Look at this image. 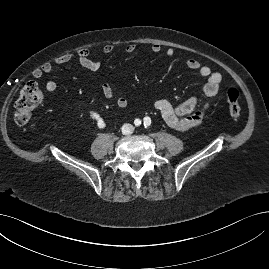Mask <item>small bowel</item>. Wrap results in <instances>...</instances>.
<instances>
[{"mask_svg": "<svg viewBox=\"0 0 269 269\" xmlns=\"http://www.w3.org/2000/svg\"><path fill=\"white\" fill-rule=\"evenodd\" d=\"M135 50L136 46L134 44H129L125 48L127 54H132ZM150 50L153 53L158 54L162 52L163 48L160 44H152ZM102 51L104 54H110L114 51V45L107 44L102 48ZM91 55L89 49L82 48L75 54L68 53L57 57L54 64L65 65L77 60L83 68L90 72H97L101 67V63L98 60L93 59ZM165 55L169 58L174 57V49H166ZM186 66L205 80L202 86L203 96L211 98L219 93L223 80L222 75L219 72L213 71L209 66L202 64L195 58L187 59ZM53 67L52 63H44L33 71V78L40 79L43 75L50 73L53 70ZM56 90L57 84L54 81L46 83L45 91L48 94H52ZM101 92L106 98L113 100L120 109H126L128 107L127 99L117 95L110 84L103 83L101 85ZM155 108L159 111L169 127L179 132H188L201 126L207 116L209 104L206 103L199 106V101L196 97L189 98L178 105H173L167 100L160 99L155 102Z\"/></svg>", "mask_w": 269, "mask_h": 269, "instance_id": "1", "label": "small bowel"}]
</instances>
